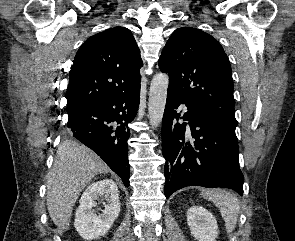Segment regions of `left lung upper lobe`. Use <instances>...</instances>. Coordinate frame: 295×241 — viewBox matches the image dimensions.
I'll list each match as a JSON object with an SVG mask.
<instances>
[{
    "label": "left lung upper lobe",
    "mask_w": 295,
    "mask_h": 241,
    "mask_svg": "<svg viewBox=\"0 0 295 241\" xmlns=\"http://www.w3.org/2000/svg\"><path fill=\"white\" fill-rule=\"evenodd\" d=\"M168 90L192 108L236 127L231 65L211 35L192 27L175 30L159 59Z\"/></svg>",
    "instance_id": "obj_1"
}]
</instances>
